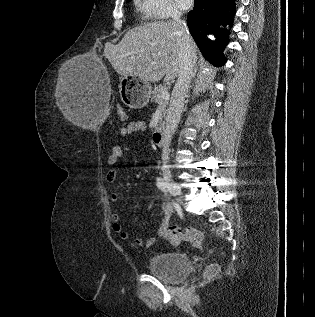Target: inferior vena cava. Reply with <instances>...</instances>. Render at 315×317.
<instances>
[{
	"instance_id": "602c4592",
	"label": "inferior vena cava",
	"mask_w": 315,
	"mask_h": 317,
	"mask_svg": "<svg viewBox=\"0 0 315 317\" xmlns=\"http://www.w3.org/2000/svg\"><path fill=\"white\" fill-rule=\"evenodd\" d=\"M172 19L179 26V35L181 36V54L182 67L178 75L177 82L172 92L169 109L166 116L165 140L162 150V160L167 162L169 156V145L172 136L180 121L184 100L188 92L191 79L194 76V66L196 63V54L193 51L192 41L189 37L188 29L184 21L181 20V13L173 12Z\"/></svg>"
}]
</instances>
